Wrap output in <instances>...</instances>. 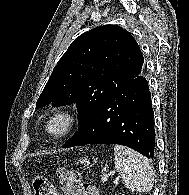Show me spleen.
I'll list each match as a JSON object with an SVG mask.
<instances>
[{
	"mask_svg": "<svg viewBox=\"0 0 189 195\" xmlns=\"http://www.w3.org/2000/svg\"><path fill=\"white\" fill-rule=\"evenodd\" d=\"M115 169L126 188L132 192H150L154 173L149 160L138 152L121 145L114 147Z\"/></svg>",
	"mask_w": 189,
	"mask_h": 195,
	"instance_id": "3e777b00",
	"label": "spleen"
}]
</instances>
